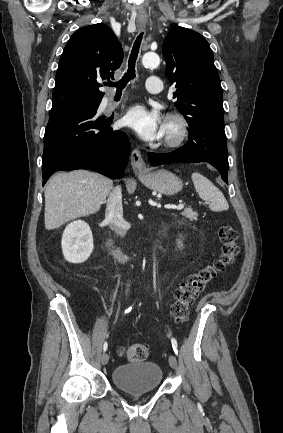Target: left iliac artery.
<instances>
[{
  "instance_id": "obj_1",
  "label": "left iliac artery",
  "mask_w": 283,
  "mask_h": 433,
  "mask_svg": "<svg viewBox=\"0 0 283 433\" xmlns=\"http://www.w3.org/2000/svg\"><path fill=\"white\" fill-rule=\"evenodd\" d=\"M171 343H172L173 350H174L175 354L177 355L178 354L177 341L175 340V338L171 339Z\"/></svg>"
}]
</instances>
